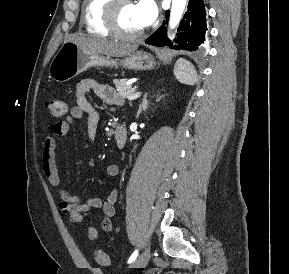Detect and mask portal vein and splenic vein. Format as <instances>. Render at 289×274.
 Segmentation results:
<instances>
[{
  "mask_svg": "<svg viewBox=\"0 0 289 274\" xmlns=\"http://www.w3.org/2000/svg\"><path fill=\"white\" fill-rule=\"evenodd\" d=\"M141 95V93L137 92V93H134V94H131L129 97H128V100H135L137 99L139 96Z\"/></svg>",
  "mask_w": 289,
  "mask_h": 274,
  "instance_id": "1",
  "label": "portal vein and splenic vein"
}]
</instances>
